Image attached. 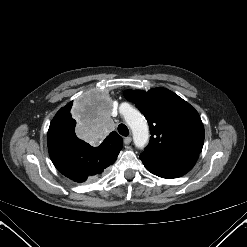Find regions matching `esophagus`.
<instances>
[{"label": "esophagus", "instance_id": "1", "mask_svg": "<svg viewBox=\"0 0 247 247\" xmlns=\"http://www.w3.org/2000/svg\"><path fill=\"white\" fill-rule=\"evenodd\" d=\"M131 141H132V138L131 137H125L124 138V144H126V145L130 144Z\"/></svg>", "mask_w": 247, "mask_h": 247}]
</instances>
